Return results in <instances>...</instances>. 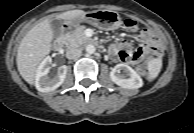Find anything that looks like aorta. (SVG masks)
Segmentation results:
<instances>
[{"mask_svg": "<svg viewBox=\"0 0 194 133\" xmlns=\"http://www.w3.org/2000/svg\"><path fill=\"white\" fill-rule=\"evenodd\" d=\"M85 50L88 54H93L95 52V46L92 44H89L86 46Z\"/></svg>", "mask_w": 194, "mask_h": 133, "instance_id": "aorta-1", "label": "aorta"}]
</instances>
